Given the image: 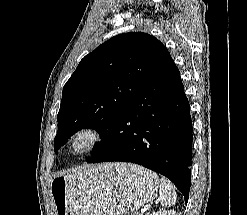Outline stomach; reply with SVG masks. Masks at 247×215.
Here are the masks:
<instances>
[{
    "instance_id": "obj_1",
    "label": "stomach",
    "mask_w": 247,
    "mask_h": 215,
    "mask_svg": "<svg viewBox=\"0 0 247 215\" xmlns=\"http://www.w3.org/2000/svg\"><path fill=\"white\" fill-rule=\"evenodd\" d=\"M158 188L156 173L125 163L87 167L50 183L56 215H126L152 201Z\"/></svg>"
}]
</instances>
